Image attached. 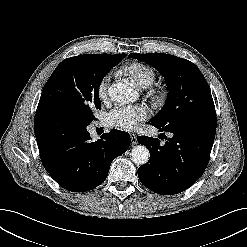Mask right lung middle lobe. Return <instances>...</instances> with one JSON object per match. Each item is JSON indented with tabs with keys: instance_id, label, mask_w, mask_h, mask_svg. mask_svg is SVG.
<instances>
[{
	"instance_id": "right-lung-middle-lobe-1",
	"label": "right lung middle lobe",
	"mask_w": 247,
	"mask_h": 247,
	"mask_svg": "<svg viewBox=\"0 0 247 247\" xmlns=\"http://www.w3.org/2000/svg\"><path fill=\"white\" fill-rule=\"evenodd\" d=\"M113 66L87 55L65 59L48 79L37 108L53 110L89 125L95 119L93 113L101 109L102 78Z\"/></svg>"
}]
</instances>
